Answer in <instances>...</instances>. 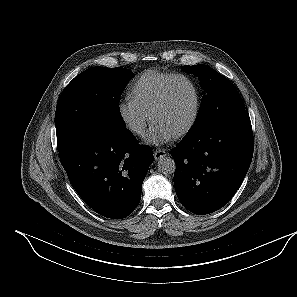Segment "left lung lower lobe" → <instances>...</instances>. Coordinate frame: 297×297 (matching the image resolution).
<instances>
[{
    "instance_id": "1",
    "label": "left lung lower lobe",
    "mask_w": 297,
    "mask_h": 297,
    "mask_svg": "<svg viewBox=\"0 0 297 297\" xmlns=\"http://www.w3.org/2000/svg\"><path fill=\"white\" fill-rule=\"evenodd\" d=\"M248 112L237 110L189 131L171 150L176 194L192 213H212L234 196L249 169L254 148Z\"/></svg>"
}]
</instances>
